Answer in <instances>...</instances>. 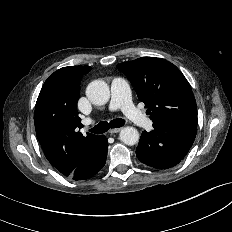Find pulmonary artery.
I'll use <instances>...</instances> for the list:
<instances>
[{"instance_id": "pulmonary-artery-1", "label": "pulmonary artery", "mask_w": 232, "mask_h": 232, "mask_svg": "<svg viewBox=\"0 0 232 232\" xmlns=\"http://www.w3.org/2000/svg\"><path fill=\"white\" fill-rule=\"evenodd\" d=\"M120 109L126 117L138 126L149 128L152 121L131 101V92L128 83L122 78H115L111 84V101L109 110Z\"/></svg>"}]
</instances>
